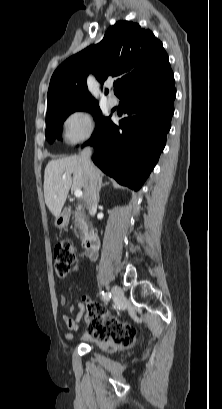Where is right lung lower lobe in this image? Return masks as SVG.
Segmentation results:
<instances>
[{"label":"right lung lower lobe","mask_w":222,"mask_h":409,"mask_svg":"<svg viewBox=\"0 0 222 409\" xmlns=\"http://www.w3.org/2000/svg\"><path fill=\"white\" fill-rule=\"evenodd\" d=\"M158 86L126 95L124 113L111 120L93 142V162L121 185L139 190L158 161L166 143L174 113L176 89L173 72L157 77Z\"/></svg>","instance_id":"right-lung-lower-lobe-1"}]
</instances>
